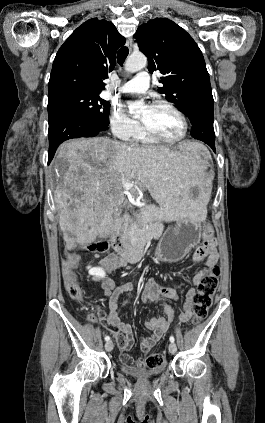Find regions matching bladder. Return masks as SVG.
<instances>
[{
	"instance_id": "1",
	"label": "bladder",
	"mask_w": 265,
	"mask_h": 423,
	"mask_svg": "<svg viewBox=\"0 0 265 423\" xmlns=\"http://www.w3.org/2000/svg\"><path fill=\"white\" fill-rule=\"evenodd\" d=\"M120 369L126 375L133 376L136 378L155 377L160 375L164 371V368L162 367L144 369V368L129 367L123 363L120 364Z\"/></svg>"
}]
</instances>
